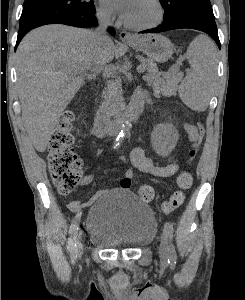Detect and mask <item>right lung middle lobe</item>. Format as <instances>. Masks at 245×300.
Returning <instances> with one entry per match:
<instances>
[{
  "label": "right lung middle lobe",
  "mask_w": 245,
  "mask_h": 300,
  "mask_svg": "<svg viewBox=\"0 0 245 300\" xmlns=\"http://www.w3.org/2000/svg\"><path fill=\"white\" fill-rule=\"evenodd\" d=\"M95 13L93 0H25L19 32L60 19H78Z\"/></svg>",
  "instance_id": "obj_1"
}]
</instances>
